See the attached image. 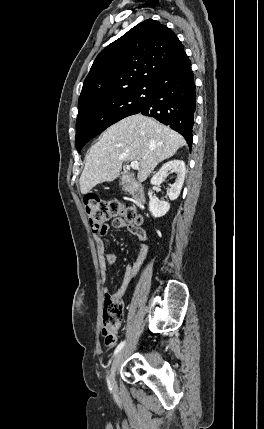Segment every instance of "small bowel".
Segmentation results:
<instances>
[{
  "instance_id": "1",
  "label": "small bowel",
  "mask_w": 264,
  "mask_h": 429,
  "mask_svg": "<svg viewBox=\"0 0 264 429\" xmlns=\"http://www.w3.org/2000/svg\"><path fill=\"white\" fill-rule=\"evenodd\" d=\"M110 226L115 228V229H121V228L126 227L133 235H136L138 237L139 242H140V249H139L138 257H137L134 264L126 266L125 273H124V276L122 279V283L116 292L117 296H121L126 291L129 283L136 276L142 262L144 261L146 255H147V252H148L147 233H146L144 228L134 227L130 224H127L125 222V220L122 218L113 219L110 223ZM106 230H107V227H106ZM106 230H105V232H106ZM104 233L101 235H95V241H96V245H97L98 261H99L101 276L105 282L104 295L106 296V295L110 294L109 288L106 284V282H107V267L109 265H112L115 263L116 255L114 252H112L106 248L104 241H103Z\"/></svg>"
}]
</instances>
